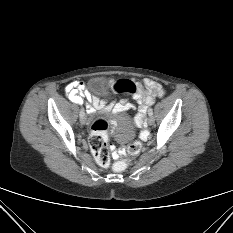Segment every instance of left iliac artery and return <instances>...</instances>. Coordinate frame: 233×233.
Listing matches in <instances>:
<instances>
[{
    "label": "left iliac artery",
    "instance_id": "44dca946",
    "mask_svg": "<svg viewBox=\"0 0 233 233\" xmlns=\"http://www.w3.org/2000/svg\"><path fill=\"white\" fill-rule=\"evenodd\" d=\"M148 114H149V116H152V115H153V110H152V108H149V109H148Z\"/></svg>",
    "mask_w": 233,
    "mask_h": 233
}]
</instances>
